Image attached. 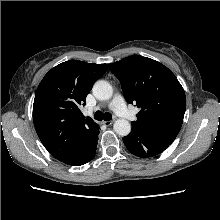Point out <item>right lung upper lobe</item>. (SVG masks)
<instances>
[{
	"instance_id": "1",
	"label": "right lung upper lobe",
	"mask_w": 220,
	"mask_h": 220,
	"mask_svg": "<svg viewBox=\"0 0 220 220\" xmlns=\"http://www.w3.org/2000/svg\"><path fill=\"white\" fill-rule=\"evenodd\" d=\"M106 70L107 64L70 60L52 68L40 82L33 122L42 144L59 161L74 157L98 134V124L80 117L79 106L86 104L93 84Z\"/></svg>"
}]
</instances>
